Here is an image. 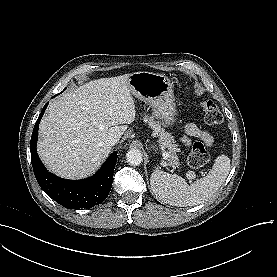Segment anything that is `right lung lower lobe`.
<instances>
[{
	"label": "right lung lower lobe",
	"instance_id": "1",
	"mask_svg": "<svg viewBox=\"0 0 277 277\" xmlns=\"http://www.w3.org/2000/svg\"><path fill=\"white\" fill-rule=\"evenodd\" d=\"M47 102L40 113L32 132L30 150L35 177L40 187L57 203L69 209L91 208L102 203L108 196L117 162V152H113L100 170L92 177L82 180H66L48 172L37 152L38 128L48 106Z\"/></svg>",
	"mask_w": 277,
	"mask_h": 277
}]
</instances>
